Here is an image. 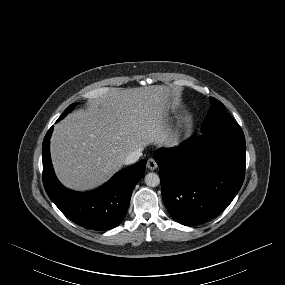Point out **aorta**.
I'll list each match as a JSON object with an SVG mask.
<instances>
[{"instance_id":"obj_1","label":"aorta","mask_w":285,"mask_h":285,"mask_svg":"<svg viewBox=\"0 0 285 285\" xmlns=\"http://www.w3.org/2000/svg\"><path fill=\"white\" fill-rule=\"evenodd\" d=\"M145 183L149 187H156L160 183V178L156 173H148L145 176Z\"/></svg>"}]
</instances>
